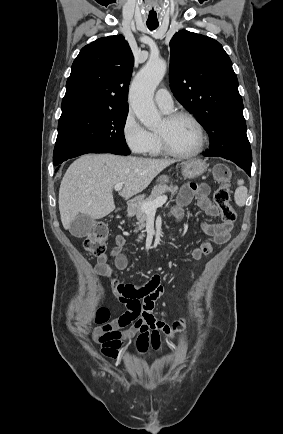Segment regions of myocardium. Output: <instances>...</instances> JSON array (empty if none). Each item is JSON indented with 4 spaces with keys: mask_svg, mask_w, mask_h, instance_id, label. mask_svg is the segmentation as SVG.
Listing matches in <instances>:
<instances>
[{
    "mask_svg": "<svg viewBox=\"0 0 283 434\" xmlns=\"http://www.w3.org/2000/svg\"><path fill=\"white\" fill-rule=\"evenodd\" d=\"M181 118H186L188 120H190L193 125L195 126L196 130H197V134H198V144L197 147L191 151V152H187V153H181V152H177L175 151L168 143L165 135L161 132H156L162 151L167 154L170 155L172 157L175 158H179V159H188V158H193L197 155H199L205 147V130L203 125L201 124V122L199 121V119L192 113L188 112V111H175V112H171L169 114L166 115L165 119L167 122H173L177 119H181Z\"/></svg>",
    "mask_w": 283,
    "mask_h": 434,
    "instance_id": "f54148a6",
    "label": "myocardium"
}]
</instances>
